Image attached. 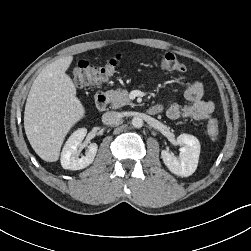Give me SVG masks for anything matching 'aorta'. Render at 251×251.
Wrapping results in <instances>:
<instances>
[{"instance_id":"762f6f07","label":"aorta","mask_w":251,"mask_h":251,"mask_svg":"<svg viewBox=\"0 0 251 251\" xmlns=\"http://www.w3.org/2000/svg\"><path fill=\"white\" fill-rule=\"evenodd\" d=\"M143 123L144 122L141 117L136 116L132 119V125L134 128H141L143 126Z\"/></svg>"}]
</instances>
